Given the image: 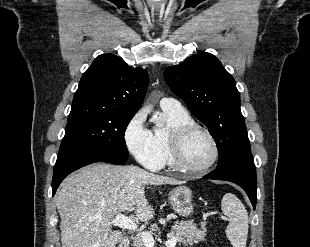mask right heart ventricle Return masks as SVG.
<instances>
[{
    "label": "right heart ventricle",
    "mask_w": 310,
    "mask_h": 247,
    "mask_svg": "<svg viewBox=\"0 0 310 247\" xmlns=\"http://www.w3.org/2000/svg\"><path fill=\"white\" fill-rule=\"evenodd\" d=\"M167 124L165 127H156L153 131V140L157 148L160 167L165 165L173 166L170 151V133L176 126L194 122L188 112H174L171 110H163Z\"/></svg>",
    "instance_id": "1"
}]
</instances>
